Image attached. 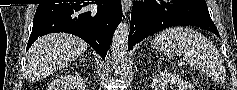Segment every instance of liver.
<instances>
[{
    "label": "liver",
    "mask_w": 237,
    "mask_h": 90,
    "mask_svg": "<svg viewBox=\"0 0 237 90\" xmlns=\"http://www.w3.org/2000/svg\"><path fill=\"white\" fill-rule=\"evenodd\" d=\"M88 44L72 34H48L38 38L26 54L31 80L54 74L87 52Z\"/></svg>",
    "instance_id": "6515ba94"
}]
</instances>
